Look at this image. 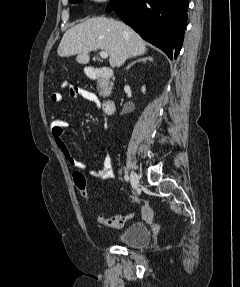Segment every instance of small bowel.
<instances>
[{
  "instance_id": "obj_1",
  "label": "small bowel",
  "mask_w": 240,
  "mask_h": 287,
  "mask_svg": "<svg viewBox=\"0 0 240 287\" xmlns=\"http://www.w3.org/2000/svg\"><path fill=\"white\" fill-rule=\"evenodd\" d=\"M62 87L69 88V93L71 97L87 100L93 103L96 107L100 106L99 99L93 92L80 87L69 86L67 83H63ZM51 100L54 103H60L63 100V95L59 92H54L51 95ZM67 128L74 129L73 122L71 123L68 122ZM53 139L62 156L73 168L88 171V173L91 176L101 178L104 180L111 179L114 176L113 159L110 153H107V155L105 156L101 168L98 170H94L91 169V167L88 164L80 161L74 156L69 146L67 145L63 135L61 136L53 135ZM140 212L142 218L145 220H149L152 217V210L147 205L142 206Z\"/></svg>"
}]
</instances>
